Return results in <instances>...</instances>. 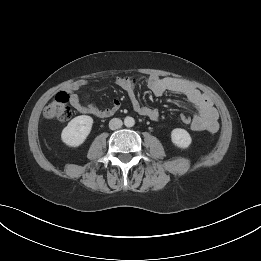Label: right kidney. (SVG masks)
<instances>
[{
    "label": "right kidney",
    "mask_w": 261,
    "mask_h": 261,
    "mask_svg": "<svg viewBox=\"0 0 261 261\" xmlns=\"http://www.w3.org/2000/svg\"><path fill=\"white\" fill-rule=\"evenodd\" d=\"M92 125V117L87 115L77 116L62 130L61 139L70 147H78L90 134Z\"/></svg>",
    "instance_id": "1"
}]
</instances>
